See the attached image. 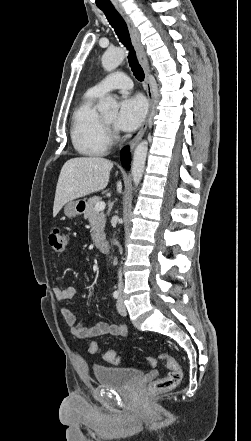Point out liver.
I'll use <instances>...</instances> for the list:
<instances>
[{"mask_svg":"<svg viewBox=\"0 0 251 441\" xmlns=\"http://www.w3.org/2000/svg\"><path fill=\"white\" fill-rule=\"evenodd\" d=\"M113 163L102 157H76L63 165L56 186L53 216L69 201L106 188ZM122 184L117 183L120 193Z\"/></svg>","mask_w":251,"mask_h":441,"instance_id":"obj_1","label":"liver"}]
</instances>
